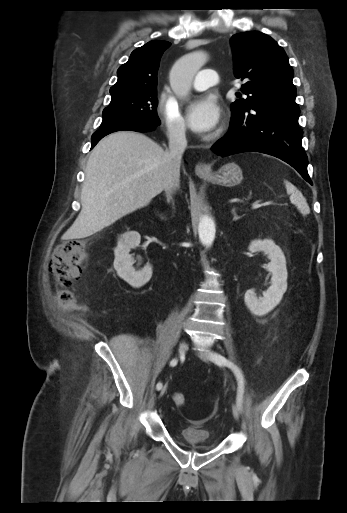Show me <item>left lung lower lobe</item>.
<instances>
[{"label": "left lung lower lobe", "instance_id": "left-lung-lower-lobe-1", "mask_svg": "<svg viewBox=\"0 0 347 513\" xmlns=\"http://www.w3.org/2000/svg\"><path fill=\"white\" fill-rule=\"evenodd\" d=\"M300 110L296 103L264 102L246 111L232 113L228 133L212 149L220 156L240 152H261L294 167L312 184L308 160L301 145Z\"/></svg>", "mask_w": 347, "mask_h": 513}]
</instances>
